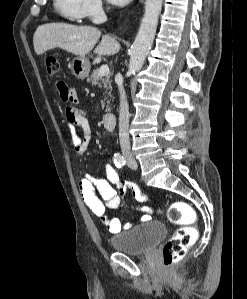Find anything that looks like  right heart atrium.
<instances>
[{
  "label": "right heart atrium",
  "instance_id": "d8ad5b80",
  "mask_svg": "<svg viewBox=\"0 0 247 299\" xmlns=\"http://www.w3.org/2000/svg\"><path fill=\"white\" fill-rule=\"evenodd\" d=\"M84 16L92 21H98L105 13L103 0H83Z\"/></svg>",
  "mask_w": 247,
  "mask_h": 299
}]
</instances>
